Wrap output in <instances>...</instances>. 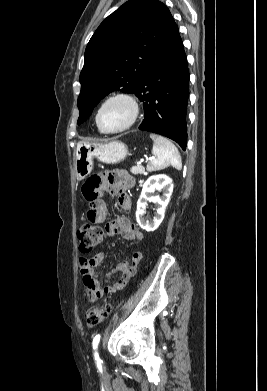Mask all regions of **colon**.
Returning <instances> with one entry per match:
<instances>
[{
	"label": "colon",
	"instance_id": "1",
	"mask_svg": "<svg viewBox=\"0 0 267 391\" xmlns=\"http://www.w3.org/2000/svg\"><path fill=\"white\" fill-rule=\"evenodd\" d=\"M79 250L83 254H88L100 243L103 237V230L97 224L83 223L77 229ZM111 309L110 304L92 305L85 312V318L89 325L101 323Z\"/></svg>",
	"mask_w": 267,
	"mask_h": 391
}]
</instances>
